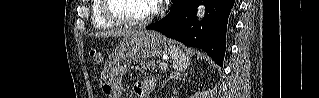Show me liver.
<instances>
[{
    "label": "liver",
    "mask_w": 319,
    "mask_h": 98,
    "mask_svg": "<svg viewBox=\"0 0 319 98\" xmlns=\"http://www.w3.org/2000/svg\"><path fill=\"white\" fill-rule=\"evenodd\" d=\"M137 31L132 30H112L108 32H100L96 33L95 36L101 37V38H107V37H120V36H128L130 34H133Z\"/></svg>",
    "instance_id": "6515ba94"
}]
</instances>
